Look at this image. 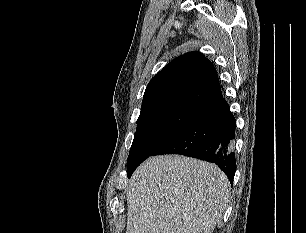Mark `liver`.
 <instances>
[{"label": "liver", "mask_w": 306, "mask_h": 233, "mask_svg": "<svg viewBox=\"0 0 306 233\" xmlns=\"http://www.w3.org/2000/svg\"><path fill=\"white\" fill-rule=\"evenodd\" d=\"M230 190L227 176L211 163L150 157L129 181L126 233H212Z\"/></svg>", "instance_id": "liver-1"}]
</instances>
